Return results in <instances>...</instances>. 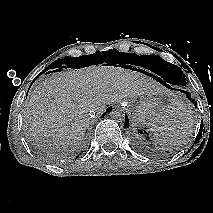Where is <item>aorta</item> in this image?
I'll return each instance as SVG.
<instances>
[{
  "label": "aorta",
  "instance_id": "762f6f07",
  "mask_svg": "<svg viewBox=\"0 0 213 213\" xmlns=\"http://www.w3.org/2000/svg\"><path fill=\"white\" fill-rule=\"evenodd\" d=\"M110 117L115 122L123 123L125 121V112L122 109L117 108L110 112Z\"/></svg>",
  "mask_w": 213,
  "mask_h": 213
}]
</instances>
